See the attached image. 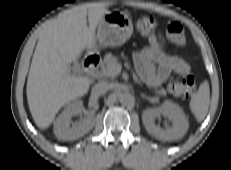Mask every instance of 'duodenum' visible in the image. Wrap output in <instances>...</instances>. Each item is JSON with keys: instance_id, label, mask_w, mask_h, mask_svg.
Returning a JSON list of instances; mask_svg holds the SVG:
<instances>
[{"instance_id": "1", "label": "duodenum", "mask_w": 231, "mask_h": 170, "mask_svg": "<svg viewBox=\"0 0 231 170\" xmlns=\"http://www.w3.org/2000/svg\"><path fill=\"white\" fill-rule=\"evenodd\" d=\"M101 63V58L97 54L87 53L82 61L83 67L88 71L96 70Z\"/></svg>"}]
</instances>
